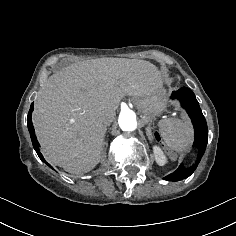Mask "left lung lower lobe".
<instances>
[{"mask_svg":"<svg viewBox=\"0 0 236 236\" xmlns=\"http://www.w3.org/2000/svg\"><path fill=\"white\" fill-rule=\"evenodd\" d=\"M171 98L178 99L181 102L182 107L187 111L189 117L191 118L195 130L193 147L197 150L195 162L192 166L184 167L183 164H181L175 172L165 177V180L168 181H179L189 177L201 161L208 142V129L199 103L194 93L189 88L184 87L174 91Z\"/></svg>","mask_w":236,"mask_h":236,"instance_id":"1","label":"left lung lower lobe"}]
</instances>
